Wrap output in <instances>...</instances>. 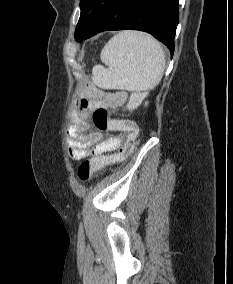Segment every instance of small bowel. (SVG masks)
<instances>
[{
	"instance_id": "c3829d8e",
	"label": "small bowel",
	"mask_w": 233,
	"mask_h": 284,
	"mask_svg": "<svg viewBox=\"0 0 233 284\" xmlns=\"http://www.w3.org/2000/svg\"><path fill=\"white\" fill-rule=\"evenodd\" d=\"M126 100V92L104 91L93 85H87L79 91L68 133V154L72 159L81 160L88 156L105 155L121 146V135L102 139L99 132L86 133L85 131L88 128L87 120L92 110L98 107L115 109L123 106ZM124 122L128 125H136L132 121Z\"/></svg>"
}]
</instances>
